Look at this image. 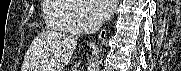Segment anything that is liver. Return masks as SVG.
<instances>
[{"label": "liver", "mask_w": 181, "mask_h": 71, "mask_svg": "<svg viewBox=\"0 0 181 71\" xmlns=\"http://www.w3.org/2000/svg\"><path fill=\"white\" fill-rule=\"evenodd\" d=\"M76 38L59 32H43L31 44L23 71H56L71 60Z\"/></svg>", "instance_id": "1"}]
</instances>
